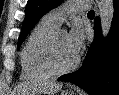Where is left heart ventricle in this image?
<instances>
[{
  "label": "left heart ventricle",
  "mask_w": 119,
  "mask_h": 95,
  "mask_svg": "<svg viewBox=\"0 0 119 95\" xmlns=\"http://www.w3.org/2000/svg\"><path fill=\"white\" fill-rule=\"evenodd\" d=\"M55 61L58 66L66 67L74 62L76 56L72 53L67 42V33L58 31L55 40Z\"/></svg>",
  "instance_id": "left-heart-ventricle-1"
}]
</instances>
